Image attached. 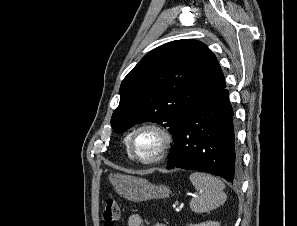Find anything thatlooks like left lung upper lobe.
Wrapping results in <instances>:
<instances>
[{"label":"left lung upper lobe","instance_id":"1","mask_svg":"<svg viewBox=\"0 0 297 226\" xmlns=\"http://www.w3.org/2000/svg\"><path fill=\"white\" fill-rule=\"evenodd\" d=\"M225 86L215 55L205 44L183 39L149 52L124 78L111 125L117 133L151 121L175 139L183 120L209 91Z\"/></svg>","mask_w":297,"mask_h":226}]
</instances>
